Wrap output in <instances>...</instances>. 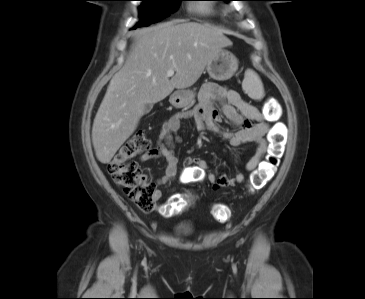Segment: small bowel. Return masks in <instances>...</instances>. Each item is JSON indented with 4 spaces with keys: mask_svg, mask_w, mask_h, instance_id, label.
Masks as SVG:
<instances>
[{
    "mask_svg": "<svg viewBox=\"0 0 365 299\" xmlns=\"http://www.w3.org/2000/svg\"><path fill=\"white\" fill-rule=\"evenodd\" d=\"M215 102H218L219 106H216ZM221 115L236 125L237 129L233 131L220 129L217 123ZM183 120L192 121L199 132L210 131L221 135L232 147H238L247 142L255 143L256 152L245 167L248 172H253L258 167L267 151L266 136L270 127L265 116L236 91L225 90L214 83H208L199 94L198 104L190 110L170 116L160 128L156 147L140 157L142 162L153 159L165 162V173L157 181L160 185L170 182L177 174L178 158L172 146L177 141L175 134ZM184 163V174L181 177L183 183L206 180L213 188H220L232 187L245 180L242 172L232 177L217 175L208 169L207 163L201 158L187 157ZM160 195V190H157V198Z\"/></svg>",
    "mask_w": 365,
    "mask_h": 299,
    "instance_id": "c3829d8e",
    "label": "small bowel"
}]
</instances>
